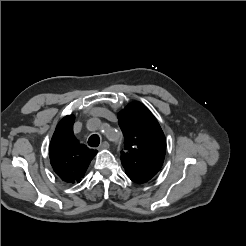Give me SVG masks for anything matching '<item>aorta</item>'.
I'll return each mask as SVG.
<instances>
[{"label": "aorta", "instance_id": "aorta-1", "mask_svg": "<svg viewBox=\"0 0 246 246\" xmlns=\"http://www.w3.org/2000/svg\"><path fill=\"white\" fill-rule=\"evenodd\" d=\"M114 130H109V131H107V130H105L104 132H103V134L110 140V141H114V142H116V141H120L121 140V136L119 135V137L117 138V139H114Z\"/></svg>", "mask_w": 246, "mask_h": 246}]
</instances>
